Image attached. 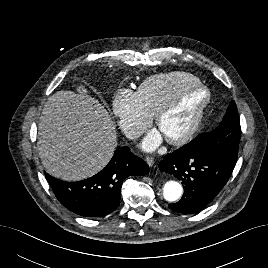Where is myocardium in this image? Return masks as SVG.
I'll return each mask as SVG.
<instances>
[{"label":"myocardium","instance_id":"1","mask_svg":"<svg viewBox=\"0 0 268 268\" xmlns=\"http://www.w3.org/2000/svg\"><path fill=\"white\" fill-rule=\"evenodd\" d=\"M190 90L199 92L201 94V99L195 110L193 119L191 120L188 127L178 136L166 137L167 142L172 145L179 146L186 144L198 131L203 121L205 111L211 100V93L209 89L202 84L186 85L179 89L155 114V123L159 128L161 121L177 107L181 96Z\"/></svg>","mask_w":268,"mask_h":268}]
</instances>
